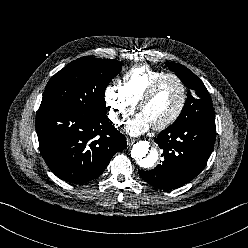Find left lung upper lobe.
Returning <instances> with one entry per match:
<instances>
[{"label":"left lung upper lobe","instance_id":"left-lung-upper-lobe-1","mask_svg":"<svg viewBox=\"0 0 248 248\" xmlns=\"http://www.w3.org/2000/svg\"><path fill=\"white\" fill-rule=\"evenodd\" d=\"M189 89L186 103L172 126L215 119L211 97L203 82L189 69L179 63L165 62Z\"/></svg>","mask_w":248,"mask_h":248}]
</instances>
